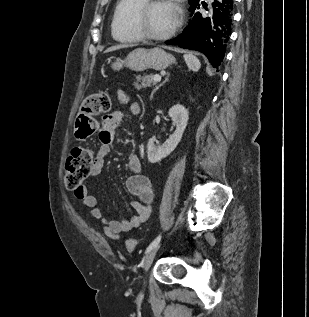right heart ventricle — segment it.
<instances>
[{"label":"right heart ventricle","mask_w":309,"mask_h":317,"mask_svg":"<svg viewBox=\"0 0 309 317\" xmlns=\"http://www.w3.org/2000/svg\"><path fill=\"white\" fill-rule=\"evenodd\" d=\"M145 0H119L116 4L112 22L111 33L119 42H137L142 39L134 26V17L137 8Z\"/></svg>","instance_id":"obj_1"}]
</instances>
